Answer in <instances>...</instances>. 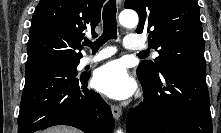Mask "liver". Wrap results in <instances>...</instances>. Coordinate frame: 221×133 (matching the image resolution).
<instances>
[{
  "mask_svg": "<svg viewBox=\"0 0 221 133\" xmlns=\"http://www.w3.org/2000/svg\"><path fill=\"white\" fill-rule=\"evenodd\" d=\"M44 133H80L77 129H73L66 126H56L46 129Z\"/></svg>",
  "mask_w": 221,
  "mask_h": 133,
  "instance_id": "1",
  "label": "liver"
}]
</instances>
